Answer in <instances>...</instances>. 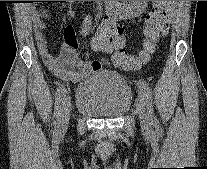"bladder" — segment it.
<instances>
[{
  "mask_svg": "<svg viewBox=\"0 0 207 169\" xmlns=\"http://www.w3.org/2000/svg\"><path fill=\"white\" fill-rule=\"evenodd\" d=\"M133 92L119 75L101 71L82 80L76 88L77 111L97 118H118L131 107Z\"/></svg>",
  "mask_w": 207,
  "mask_h": 169,
  "instance_id": "obj_1",
  "label": "bladder"
}]
</instances>
